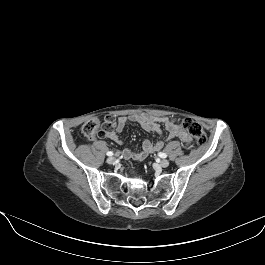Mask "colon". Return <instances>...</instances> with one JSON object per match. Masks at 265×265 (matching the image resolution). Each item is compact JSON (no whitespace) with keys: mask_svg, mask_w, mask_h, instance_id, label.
I'll list each match as a JSON object with an SVG mask.
<instances>
[{"mask_svg":"<svg viewBox=\"0 0 265 265\" xmlns=\"http://www.w3.org/2000/svg\"><path fill=\"white\" fill-rule=\"evenodd\" d=\"M178 126L186 130L190 136L199 145H203L207 141V135L202 127L190 118H180L177 121ZM113 127V120L110 117L105 118L103 121L92 119L87 121L83 127L82 132L86 137H104Z\"/></svg>","mask_w":265,"mask_h":265,"instance_id":"colon-1","label":"colon"}]
</instances>
